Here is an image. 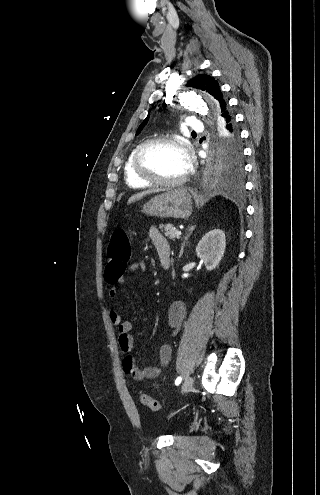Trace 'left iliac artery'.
<instances>
[{"label": "left iliac artery", "instance_id": "left-iliac-artery-1", "mask_svg": "<svg viewBox=\"0 0 320 495\" xmlns=\"http://www.w3.org/2000/svg\"><path fill=\"white\" fill-rule=\"evenodd\" d=\"M181 382V377H178L176 380H175V385H179Z\"/></svg>", "mask_w": 320, "mask_h": 495}]
</instances>
